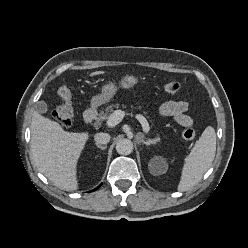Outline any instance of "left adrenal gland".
<instances>
[{"mask_svg":"<svg viewBox=\"0 0 248 248\" xmlns=\"http://www.w3.org/2000/svg\"><path fill=\"white\" fill-rule=\"evenodd\" d=\"M158 141V139H148V140H141L142 144H145L146 146H149L151 144H156V142Z\"/></svg>","mask_w":248,"mask_h":248,"instance_id":"1","label":"left adrenal gland"}]
</instances>
